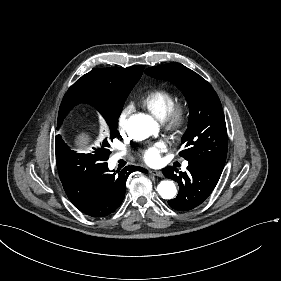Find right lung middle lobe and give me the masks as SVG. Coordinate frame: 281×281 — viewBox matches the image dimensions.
Masks as SVG:
<instances>
[{
  "label": "right lung middle lobe",
  "mask_w": 281,
  "mask_h": 281,
  "mask_svg": "<svg viewBox=\"0 0 281 281\" xmlns=\"http://www.w3.org/2000/svg\"><path fill=\"white\" fill-rule=\"evenodd\" d=\"M98 111L102 114L104 119L110 128V138L113 140L117 136L118 118L121 114L122 108H99ZM110 147L107 139L102 142L101 148H98L95 152L102 154L104 158H108ZM57 167L61 180L65 178V175L72 176L81 172L84 168L80 166V162L76 160H68L65 157L58 156L56 154Z\"/></svg>",
  "instance_id": "right-lung-middle-lobe-1"
}]
</instances>
